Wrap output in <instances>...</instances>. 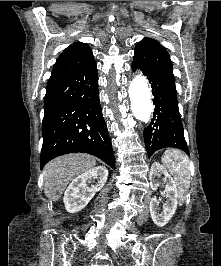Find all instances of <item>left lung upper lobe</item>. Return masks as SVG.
<instances>
[{
	"label": "left lung upper lobe",
	"mask_w": 221,
	"mask_h": 266,
	"mask_svg": "<svg viewBox=\"0 0 221 266\" xmlns=\"http://www.w3.org/2000/svg\"><path fill=\"white\" fill-rule=\"evenodd\" d=\"M133 60L142 68L172 73V61L164 47L156 40L144 38L135 47Z\"/></svg>",
	"instance_id": "obj_1"
}]
</instances>
